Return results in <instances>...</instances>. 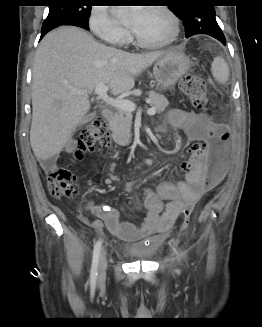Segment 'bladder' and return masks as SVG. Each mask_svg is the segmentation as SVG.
Listing matches in <instances>:
<instances>
[{
	"label": "bladder",
	"instance_id": "bladder-1",
	"mask_svg": "<svg viewBox=\"0 0 262 327\" xmlns=\"http://www.w3.org/2000/svg\"><path fill=\"white\" fill-rule=\"evenodd\" d=\"M166 241L165 236L154 235L124 247V253L132 262H149L154 259Z\"/></svg>",
	"mask_w": 262,
	"mask_h": 327
}]
</instances>
